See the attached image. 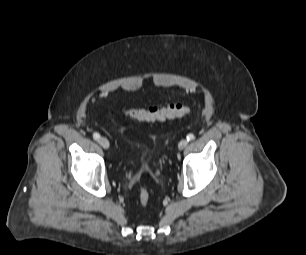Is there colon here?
Returning <instances> with one entry per match:
<instances>
[{
    "label": "colon",
    "mask_w": 306,
    "mask_h": 255,
    "mask_svg": "<svg viewBox=\"0 0 306 255\" xmlns=\"http://www.w3.org/2000/svg\"><path fill=\"white\" fill-rule=\"evenodd\" d=\"M190 113V108L182 103H171L165 107H130L123 110V114L127 117L143 121H167L173 118L183 117ZM150 200V194L147 188H139V202L145 207Z\"/></svg>",
    "instance_id": "1"
}]
</instances>
